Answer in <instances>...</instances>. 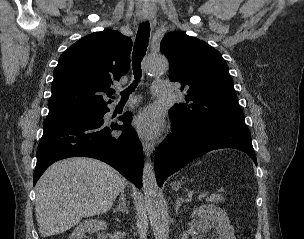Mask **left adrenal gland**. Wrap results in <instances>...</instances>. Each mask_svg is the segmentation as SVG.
Here are the masks:
<instances>
[{
	"label": "left adrenal gland",
	"instance_id": "left-adrenal-gland-1",
	"mask_svg": "<svg viewBox=\"0 0 304 239\" xmlns=\"http://www.w3.org/2000/svg\"><path fill=\"white\" fill-rule=\"evenodd\" d=\"M188 201H189V199L182 198V197L177 195V198H176V212L178 213L179 207L183 204V202H188Z\"/></svg>",
	"mask_w": 304,
	"mask_h": 239
}]
</instances>
